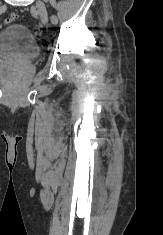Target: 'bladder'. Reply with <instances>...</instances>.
Returning <instances> with one entry per match:
<instances>
[{
    "mask_svg": "<svg viewBox=\"0 0 163 235\" xmlns=\"http://www.w3.org/2000/svg\"><path fill=\"white\" fill-rule=\"evenodd\" d=\"M39 55L33 34L24 24H10L0 31V58L32 61Z\"/></svg>",
    "mask_w": 163,
    "mask_h": 235,
    "instance_id": "obj_1",
    "label": "bladder"
}]
</instances>
